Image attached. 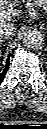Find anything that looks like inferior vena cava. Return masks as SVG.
Segmentation results:
<instances>
[{
  "mask_svg": "<svg viewBox=\"0 0 47 129\" xmlns=\"http://www.w3.org/2000/svg\"><path fill=\"white\" fill-rule=\"evenodd\" d=\"M16 33V28L13 24L10 23H1L0 24V38H6L8 39L12 35H15Z\"/></svg>",
  "mask_w": 47,
  "mask_h": 129,
  "instance_id": "obj_1",
  "label": "inferior vena cava"
}]
</instances>
